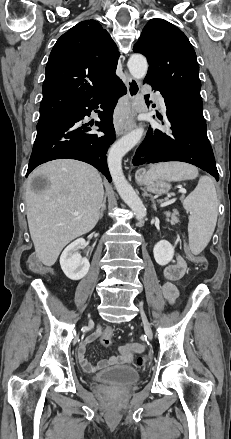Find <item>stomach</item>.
I'll return each instance as SVG.
<instances>
[{"instance_id":"1","label":"stomach","mask_w":231,"mask_h":439,"mask_svg":"<svg viewBox=\"0 0 231 439\" xmlns=\"http://www.w3.org/2000/svg\"><path fill=\"white\" fill-rule=\"evenodd\" d=\"M136 181L144 185L146 189L149 192H152L154 194H165L168 193L171 189V185L168 180L164 179H154V180H148L147 179V172L145 170H138L135 175Z\"/></svg>"}]
</instances>
